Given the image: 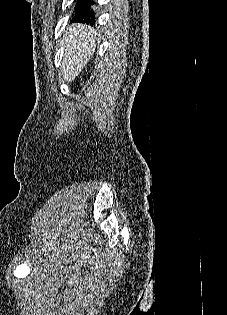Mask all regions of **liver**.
<instances>
[{"mask_svg":"<svg viewBox=\"0 0 227 315\" xmlns=\"http://www.w3.org/2000/svg\"><path fill=\"white\" fill-rule=\"evenodd\" d=\"M69 31L70 34L64 38L67 48L61 65L65 82H71L78 76L94 53L96 46L90 27L75 24Z\"/></svg>","mask_w":227,"mask_h":315,"instance_id":"6515ba94","label":"liver"}]
</instances>
